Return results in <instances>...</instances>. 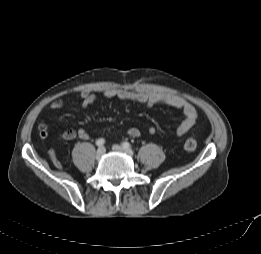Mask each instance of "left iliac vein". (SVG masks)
Masks as SVG:
<instances>
[{"label": "left iliac vein", "mask_w": 261, "mask_h": 254, "mask_svg": "<svg viewBox=\"0 0 261 254\" xmlns=\"http://www.w3.org/2000/svg\"><path fill=\"white\" fill-rule=\"evenodd\" d=\"M112 149L114 151L126 153L129 156L133 155V151L131 149H125L124 147L119 146V145H113Z\"/></svg>", "instance_id": "4c4485c4"}]
</instances>
